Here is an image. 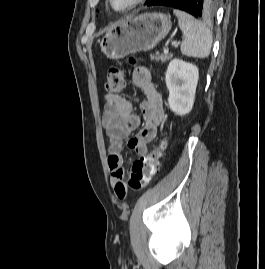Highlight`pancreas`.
I'll list each match as a JSON object with an SVG mask.
<instances>
[{
    "mask_svg": "<svg viewBox=\"0 0 265 269\" xmlns=\"http://www.w3.org/2000/svg\"><path fill=\"white\" fill-rule=\"evenodd\" d=\"M172 57L173 55L171 53L160 54L159 52H157L155 55L154 54L150 55L151 60H154L157 62L161 60L163 63L171 60Z\"/></svg>",
    "mask_w": 265,
    "mask_h": 269,
    "instance_id": "1",
    "label": "pancreas"
}]
</instances>
